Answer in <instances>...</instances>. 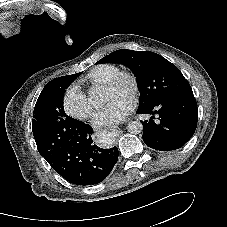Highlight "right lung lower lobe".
Wrapping results in <instances>:
<instances>
[{
  "instance_id": "right-lung-lower-lobe-1",
  "label": "right lung lower lobe",
  "mask_w": 227,
  "mask_h": 227,
  "mask_svg": "<svg viewBox=\"0 0 227 227\" xmlns=\"http://www.w3.org/2000/svg\"><path fill=\"white\" fill-rule=\"evenodd\" d=\"M73 135L57 153L46 159L67 181L76 185L98 184L111 172L118 160V148L98 147L92 140L90 125L77 120Z\"/></svg>"
}]
</instances>
